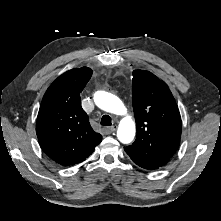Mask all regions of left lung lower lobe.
I'll list each match as a JSON object with an SVG mask.
<instances>
[{
	"instance_id": "0a47b994",
	"label": "left lung lower lobe",
	"mask_w": 221,
	"mask_h": 221,
	"mask_svg": "<svg viewBox=\"0 0 221 221\" xmlns=\"http://www.w3.org/2000/svg\"><path fill=\"white\" fill-rule=\"evenodd\" d=\"M132 161L137 164L138 166L144 168V169H148V170H155V169H158L159 166H156L154 164H151V163H148V162H144V161H141V160H138V159H134V158H131Z\"/></svg>"
}]
</instances>
